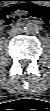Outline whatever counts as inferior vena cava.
Wrapping results in <instances>:
<instances>
[{"mask_svg": "<svg viewBox=\"0 0 50 111\" xmlns=\"http://www.w3.org/2000/svg\"><path fill=\"white\" fill-rule=\"evenodd\" d=\"M23 32V29L21 27H14L10 30L9 34L10 36H16L18 34H21Z\"/></svg>", "mask_w": 50, "mask_h": 111, "instance_id": "obj_1", "label": "inferior vena cava"}]
</instances>
